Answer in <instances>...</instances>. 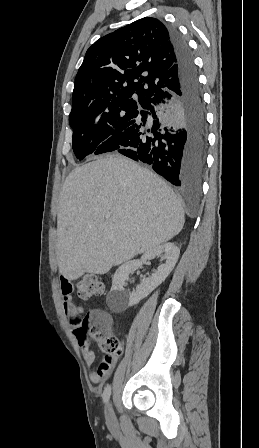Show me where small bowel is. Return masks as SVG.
I'll return each mask as SVG.
<instances>
[{
  "instance_id": "obj_1",
  "label": "small bowel",
  "mask_w": 259,
  "mask_h": 448,
  "mask_svg": "<svg viewBox=\"0 0 259 448\" xmlns=\"http://www.w3.org/2000/svg\"><path fill=\"white\" fill-rule=\"evenodd\" d=\"M60 286L63 295V303L66 315L69 317L70 324L74 328H76L78 318L83 315L84 308L80 305L75 304L73 301V285L71 280L67 279L66 277H61ZM80 345L85 363L88 366L93 365L95 362V353L91 349L89 342H80ZM117 361L118 356L112 357L106 355L105 358L97 365V367L90 372V380L93 383H100L105 380L112 373Z\"/></svg>"
}]
</instances>
